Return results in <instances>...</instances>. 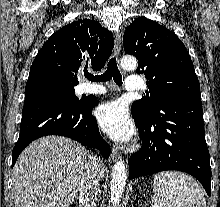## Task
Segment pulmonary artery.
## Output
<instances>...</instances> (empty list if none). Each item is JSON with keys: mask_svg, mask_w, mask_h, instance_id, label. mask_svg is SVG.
<instances>
[{"mask_svg": "<svg viewBox=\"0 0 220 207\" xmlns=\"http://www.w3.org/2000/svg\"><path fill=\"white\" fill-rule=\"evenodd\" d=\"M125 88L129 91L141 90L143 88V82L140 77L138 76H129L125 81ZM87 93L90 94H106L107 90L98 85H90L87 86L86 90Z\"/></svg>", "mask_w": 220, "mask_h": 207, "instance_id": "1", "label": "pulmonary artery"}]
</instances>
